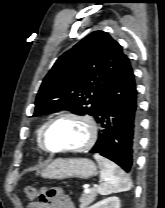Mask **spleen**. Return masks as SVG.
I'll return each mask as SVG.
<instances>
[{
    "instance_id": "spleen-1",
    "label": "spleen",
    "mask_w": 165,
    "mask_h": 208,
    "mask_svg": "<svg viewBox=\"0 0 165 208\" xmlns=\"http://www.w3.org/2000/svg\"><path fill=\"white\" fill-rule=\"evenodd\" d=\"M94 158L101 167L100 177L103 181L97 188L99 194L108 195L128 191L132 188L130 179L118 165L99 154H95Z\"/></svg>"
}]
</instances>
